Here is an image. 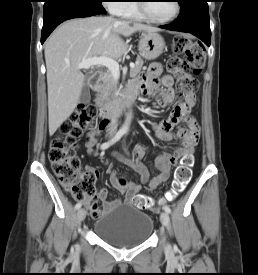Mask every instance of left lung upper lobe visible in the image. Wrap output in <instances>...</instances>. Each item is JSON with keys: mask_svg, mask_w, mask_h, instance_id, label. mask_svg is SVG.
<instances>
[{"mask_svg": "<svg viewBox=\"0 0 258 275\" xmlns=\"http://www.w3.org/2000/svg\"><path fill=\"white\" fill-rule=\"evenodd\" d=\"M185 0H178L179 4H182Z\"/></svg>", "mask_w": 258, "mask_h": 275, "instance_id": "left-lung-upper-lobe-1", "label": "left lung upper lobe"}]
</instances>
